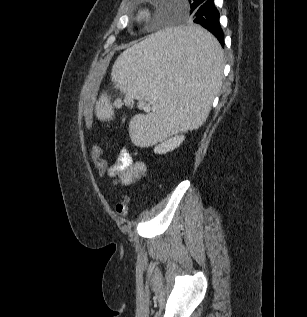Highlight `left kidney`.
<instances>
[{
    "instance_id": "left-kidney-1",
    "label": "left kidney",
    "mask_w": 307,
    "mask_h": 317,
    "mask_svg": "<svg viewBox=\"0 0 307 317\" xmlns=\"http://www.w3.org/2000/svg\"><path fill=\"white\" fill-rule=\"evenodd\" d=\"M185 139V136L182 135H175L174 137L168 138L158 144L154 148V152L158 154H165L171 150L177 148Z\"/></svg>"
}]
</instances>
